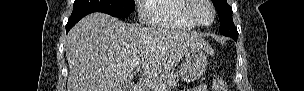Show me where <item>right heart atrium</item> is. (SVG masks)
I'll return each mask as SVG.
<instances>
[{"mask_svg":"<svg viewBox=\"0 0 304 91\" xmlns=\"http://www.w3.org/2000/svg\"><path fill=\"white\" fill-rule=\"evenodd\" d=\"M143 3H145V1L139 2L140 5H142Z\"/></svg>","mask_w":304,"mask_h":91,"instance_id":"right-heart-atrium-1","label":"right heart atrium"}]
</instances>
